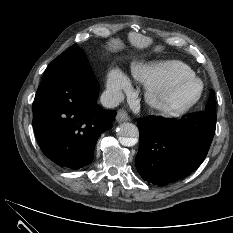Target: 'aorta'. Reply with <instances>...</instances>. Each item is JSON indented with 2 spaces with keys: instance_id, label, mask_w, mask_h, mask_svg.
<instances>
[{
  "instance_id": "obj_1",
  "label": "aorta",
  "mask_w": 233,
  "mask_h": 233,
  "mask_svg": "<svg viewBox=\"0 0 233 233\" xmlns=\"http://www.w3.org/2000/svg\"><path fill=\"white\" fill-rule=\"evenodd\" d=\"M119 141L123 146L131 147L137 143L139 130L136 125L125 122L117 128Z\"/></svg>"
}]
</instances>
